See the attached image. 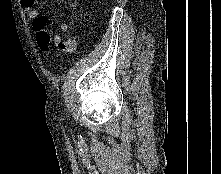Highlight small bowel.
Wrapping results in <instances>:
<instances>
[{
	"label": "small bowel",
	"mask_w": 221,
	"mask_h": 174,
	"mask_svg": "<svg viewBox=\"0 0 221 174\" xmlns=\"http://www.w3.org/2000/svg\"><path fill=\"white\" fill-rule=\"evenodd\" d=\"M22 5L27 11L28 17L33 21L34 30L37 33V39L40 49L47 53L51 48V42H53L62 51H73L75 49V43L68 39L64 34H57L53 37L50 36L46 30L47 19L40 16L36 9V0H21ZM69 25L61 24L60 29L63 33L69 31Z\"/></svg>",
	"instance_id": "obj_1"
}]
</instances>
